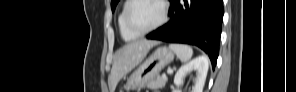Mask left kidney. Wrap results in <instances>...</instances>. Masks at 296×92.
<instances>
[{
  "instance_id": "left-kidney-1",
  "label": "left kidney",
  "mask_w": 296,
  "mask_h": 92,
  "mask_svg": "<svg viewBox=\"0 0 296 92\" xmlns=\"http://www.w3.org/2000/svg\"><path fill=\"white\" fill-rule=\"evenodd\" d=\"M208 68V59L205 56H199L178 69L174 77V84L176 86H182L187 74H189L192 71H196V78L191 92H202Z\"/></svg>"
}]
</instances>
